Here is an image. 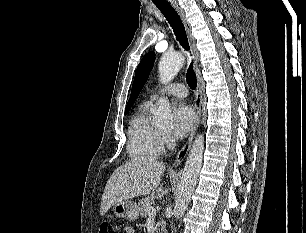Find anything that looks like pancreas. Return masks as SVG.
Segmentation results:
<instances>
[{
  "mask_svg": "<svg viewBox=\"0 0 306 233\" xmlns=\"http://www.w3.org/2000/svg\"><path fill=\"white\" fill-rule=\"evenodd\" d=\"M154 200H155V196L154 194H151L150 196H147L145 198H142L141 200H139L138 202V209H139V213L141 216H147L148 215V207L152 206L154 204ZM161 226V229H160ZM158 229L156 233H159L160 230H163V226L158 223Z\"/></svg>",
  "mask_w": 306,
  "mask_h": 233,
  "instance_id": "1",
  "label": "pancreas"
}]
</instances>
